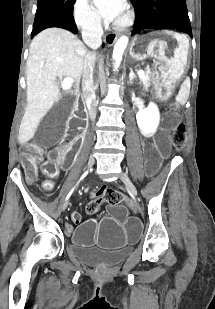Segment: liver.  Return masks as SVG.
<instances>
[{
  "label": "liver",
  "instance_id": "1",
  "mask_svg": "<svg viewBox=\"0 0 215 309\" xmlns=\"http://www.w3.org/2000/svg\"><path fill=\"white\" fill-rule=\"evenodd\" d=\"M87 52L82 40L64 28H45L34 36L27 58V106L18 134L21 144L33 138L41 118L60 100L58 78H73L74 94H79Z\"/></svg>",
  "mask_w": 215,
  "mask_h": 309
}]
</instances>
